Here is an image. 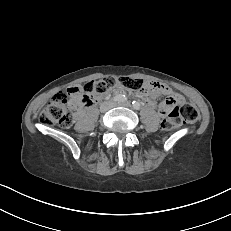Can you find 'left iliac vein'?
I'll list each match as a JSON object with an SVG mask.
<instances>
[{
	"mask_svg": "<svg viewBox=\"0 0 231 231\" xmlns=\"http://www.w3.org/2000/svg\"><path fill=\"white\" fill-rule=\"evenodd\" d=\"M116 106L130 107L131 103L129 101H125V102H122V103H118Z\"/></svg>",
	"mask_w": 231,
	"mask_h": 231,
	"instance_id": "4c4485c4",
	"label": "left iliac vein"
}]
</instances>
